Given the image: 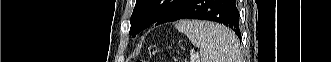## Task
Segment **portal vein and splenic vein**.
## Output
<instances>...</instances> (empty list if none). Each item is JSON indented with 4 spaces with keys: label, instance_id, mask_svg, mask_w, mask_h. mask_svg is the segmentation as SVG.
<instances>
[{
    "label": "portal vein and splenic vein",
    "instance_id": "18ae733b",
    "mask_svg": "<svg viewBox=\"0 0 331 62\" xmlns=\"http://www.w3.org/2000/svg\"><path fill=\"white\" fill-rule=\"evenodd\" d=\"M196 58H197V55H195V54L192 55V56H191V61L194 62V60H195Z\"/></svg>",
    "mask_w": 331,
    "mask_h": 62
}]
</instances>
